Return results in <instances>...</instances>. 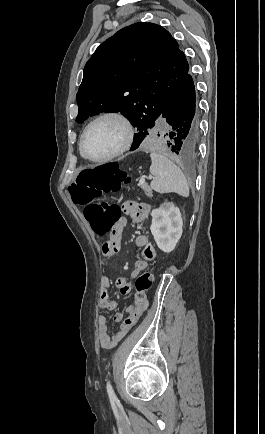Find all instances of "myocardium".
Returning a JSON list of instances; mask_svg holds the SVG:
<instances>
[{
    "label": "myocardium",
    "mask_w": 265,
    "mask_h": 434,
    "mask_svg": "<svg viewBox=\"0 0 265 434\" xmlns=\"http://www.w3.org/2000/svg\"><path fill=\"white\" fill-rule=\"evenodd\" d=\"M104 119H115V120H118L119 122L122 123V125L124 127V140H123V143L121 144V146L117 150H115L113 153H111L110 155H108L104 158H100V159H93V158L88 157L84 153L83 143H84L85 137L87 136L89 130L94 125H96L98 122H100ZM134 137H135L134 125H133L132 121L130 120V118L126 114H124L121 111H117V110L105 111V112L98 114L96 117H94L84 128V130L80 136V139H79V144H78L79 153H80V156L85 161H87L89 163L103 164V163H106V162H109V161H112V160L118 158L119 156L124 154L127 150H129V148L133 144Z\"/></svg>",
    "instance_id": "obj_1"
}]
</instances>
